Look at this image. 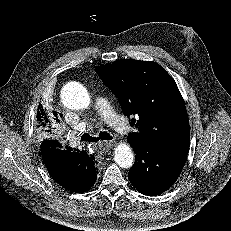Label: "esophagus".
<instances>
[{"mask_svg": "<svg viewBox=\"0 0 231 231\" xmlns=\"http://www.w3.org/2000/svg\"><path fill=\"white\" fill-rule=\"evenodd\" d=\"M113 146V142L103 141L99 144V150L103 153L108 152Z\"/></svg>", "mask_w": 231, "mask_h": 231, "instance_id": "1", "label": "esophagus"}]
</instances>
